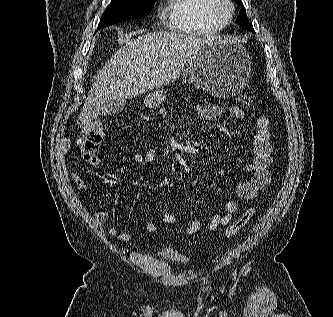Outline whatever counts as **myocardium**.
<instances>
[{"label": "myocardium", "mask_w": 333, "mask_h": 317, "mask_svg": "<svg viewBox=\"0 0 333 317\" xmlns=\"http://www.w3.org/2000/svg\"><path fill=\"white\" fill-rule=\"evenodd\" d=\"M224 8L227 9L226 13L223 11ZM208 11L215 20L226 25L234 17L235 6L232 0H210Z\"/></svg>", "instance_id": "myocardium-1"}]
</instances>
